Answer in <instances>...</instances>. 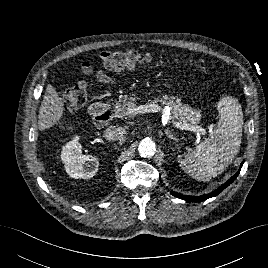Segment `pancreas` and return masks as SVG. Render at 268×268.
I'll return each instance as SVG.
<instances>
[{"mask_svg":"<svg viewBox=\"0 0 268 268\" xmlns=\"http://www.w3.org/2000/svg\"><path fill=\"white\" fill-rule=\"evenodd\" d=\"M135 99V97L125 96L123 99L116 101L113 110L115 115L117 117H132V114L128 112V108L130 105L135 104ZM156 102L169 106L171 108V117L179 123L197 126L202 118L200 110H195L187 104H182L177 96L163 95L153 101V103Z\"/></svg>","mask_w":268,"mask_h":268,"instance_id":"1","label":"pancreas"}]
</instances>
